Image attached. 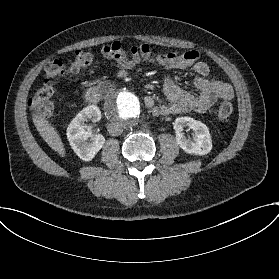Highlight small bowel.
<instances>
[{"instance_id": "c3829d8e", "label": "small bowel", "mask_w": 279, "mask_h": 279, "mask_svg": "<svg viewBox=\"0 0 279 279\" xmlns=\"http://www.w3.org/2000/svg\"><path fill=\"white\" fill-rule=\"evenodd\" d=\"M102 55L124 71H130L142 61H146L166 69L185 70L191 68L198 74L193 82L197 93L183 90L171 78H164L163 92L167 97V103L158 105L151 96L144 99L145 106L157 117L187 111L205 112L217 99H231L233 97V89L229 83L207 78L210 68L204 61L199 60V53L196 50L154 52L149 45L141 44L133 46L128 53L119 42L115 41L102 48Z\"/></svg>"}]
</instances>
